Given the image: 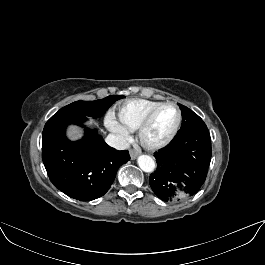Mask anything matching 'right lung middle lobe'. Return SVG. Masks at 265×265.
I'll return each instance as SVG.
<instances>
[{"label": "right lung middle lobe", "mask_w": 265, "mask_h": 265, "mask_svg": "<svg viewBox=\"0 0 265 265\" xmlns=\"http://www.w3.org/2000/svg\"><path fill=\"white\" fill-rule=\"evenodd\" d=\"M123 95H111L95 101H76L56 112L53 116H89L101 117L105 111Z\"/></svg>", "instance_id": "right-lung-middle-lobe-1"}]
</instances>
